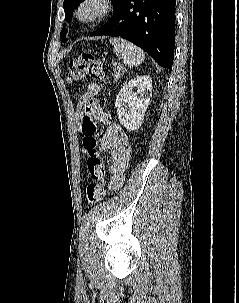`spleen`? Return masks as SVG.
Masks as SVG:
<instances>
[{
    "mask_svg": "<svg viewBox=\"0 0 239 303\" xmlns=\"http://www.w3.org/2000/svg\"><path fill=\"white\" fill-rule=\"evenodd\" d=\"M109 42L113 46L115 54L128 67H136L144 61V51L133 43L122 38H112Z\"/></svg>",
    "mask_w": 239,
    "mask_h": 303,
    "instance_id": "obj_1",
    "label": "spleen"
}]
</instances>
